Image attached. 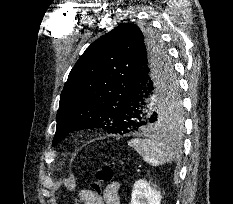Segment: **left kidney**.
Listing matches in <instances>:
<instances>
[{"label":"left kidney","mask_w":233,"mask_h":204,"mask_svg":"<svg viewBox=\"0 0 233 204\" xmlns=\"http://www.w3.org/2000/svg\"><path fill=\"white\" fill-rule=\"evenodd\" d=\"M161 192L145 180H138L133 186L130 204H160Z\"/></svg>","instance_id":"obj_1"}]
</instances>
